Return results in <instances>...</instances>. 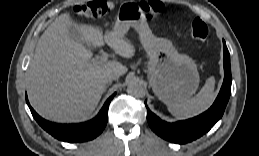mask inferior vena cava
<instances>
[{
	"label": "inferior vena cava",
	"instance_id": "inferior-vena-cava-1",
	"mask_svg": "<svg viewBox=\"0 0 259 156\" xmlns=\"http://www.w3.org/2000/svg\"><path fill=\"white\" fill-rule=\"evenodd\" d=\"M120 74L118 72H110L106 75L107 82H112L113 80H117Z\"/></svg>",
	"mask_w": 259,
	"mask_h": 156
}]
</instances>
